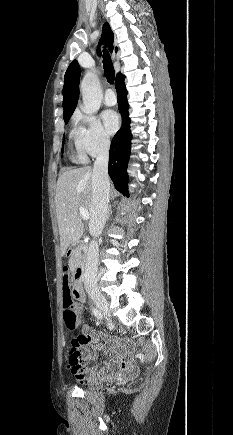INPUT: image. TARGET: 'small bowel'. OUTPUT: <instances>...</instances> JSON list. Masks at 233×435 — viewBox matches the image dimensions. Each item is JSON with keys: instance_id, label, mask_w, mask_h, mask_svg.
I'll list each match as a JSON object with an SVG mask.
<instances>
[{"instance_id": "obj_1", "label": "small bowel", "mask_w": 233, "mask_h": 435, "mask_svg": "<svg viewBox=\"0 0 233 435\" xmlns=\"http://www.w3.org/2000/svg\"><path fill=\"white\" fill-rule=\"evenodd\" d=\"M63 294L71 293L70 282L62 280ZM81 310L80 306H77ZM83 342L80 343L78 349L82 356V362L79 364H71L67 362V368L76 376L80 383H95L104 379L106 373H118L122 379H131L139 371V366L134 361L124 362L121 360L123 353L119 345L115 343L110 337H105L101 342V336L93 331H89L87 325L81 326ZM95 350H100L105 353L107 357L106 363L103 365H95L87 367L85 362L95 361Z\"/></svg>"}]
</instances>
